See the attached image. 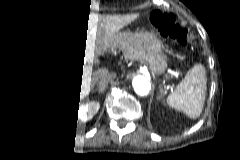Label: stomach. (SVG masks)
<instances>
[{"label": "stomach", "mask_w": 240, "mask_h": 160, "mask_svg": "<svg viewBox=\"0 0 240 160\" xmlns=\"http://www.w3.org/2000/svg\"><path fill=\"white\" fill-rule=\"evenodd\" d=\"M118 46L130 59H141L155 74H163L167 69V59L162 53L159 37L147 31L119 32L113 47Z\"/></svg>", "instance_id": "1"}]
</instances>
